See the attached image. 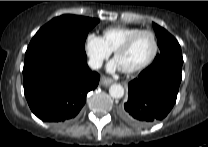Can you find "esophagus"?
I'll use <instances>...</instances> for the list:
<instances>
[{
    "label": "esophagus",
    "mask_w": 208,
    "mask_h": 147,
    "mask_svg": "<svg viewBox=\"0 0 208 147\" xmlns=\"http://www.w3.org/2000/svg\"><path fill=\"white\" fill-rule=\"evenodd\" d=\"M113 82H114V81H113L111 78H108V77H105V76H103V77L101 78V84H102L103 86H105V87L111 85Z\"/></svg>",
    "instance_id": "1"
}]
</instances>
